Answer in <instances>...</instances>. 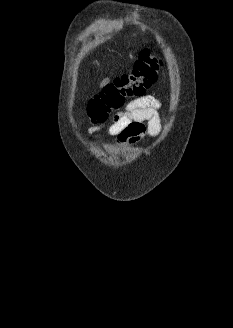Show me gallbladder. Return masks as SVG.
<instances>
[{"label":"gallbladder","instance_id":"1","mask_svg":"<svg viewBox=\"0 0 233 328\" xmlns=\"http://www.w3.org/2000/svg\"><path fill=\"white\" fill-rule=\"evenodd\" d=\"M108 82H109V80H108V79H105V80H103V81H102V83H101V86H103V85L107 84Z\"/></svg>","mask_w":233,"mask_h":328}]
</instances>
